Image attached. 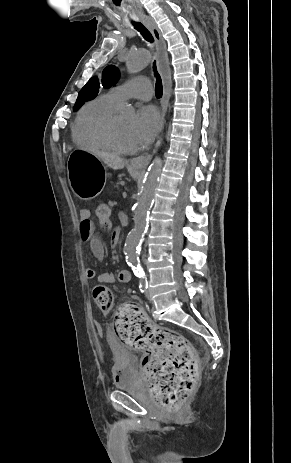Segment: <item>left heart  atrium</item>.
<instances>
[{
    "label": "left heart atrium",
    "mask_w": 291,
    "mask_h": 463,
    "mask_svg": "<svg viewBox=\"0 0 291 463\" xmlns=\"http://www.w3.org/2000/svg\"><path fill=\"white\" fill-rule=\"evenodd\" d=\"M162 126V118L153 106L142 107L131 126V135L137 146L147 145Z\"/></svg>",
    "instance_id": "1"
}]
</instances>
